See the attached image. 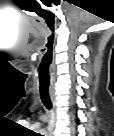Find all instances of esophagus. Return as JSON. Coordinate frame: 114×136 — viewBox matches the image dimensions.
<instances>
[{"label":"esophagus","instance_id":"1","mask_svg":"<svg viewBox=\"0 0 114 136\" xmlns=\"http://www.w3.org/2000/svg\"><path fill=\"white\" fill-rule=\"evenodd\" d=\"M49 93H50V99H51L52 106H53V109H52V123H53V128H54L55 125H56V96H55V91H54L53 87H51L49 89Z\"/></svg>","mask_w":114,"mask_h":136}]
</instances>
